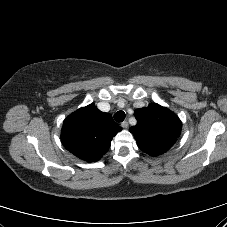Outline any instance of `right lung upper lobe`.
I'll list each match as a JSON object with an SVG mask.
<instances>
[{
  "mask_svg": "<svg viewBox=\"0 0 227 227\" xmlns=\"http://www.w3.org/2000/svg\"><path fill=\"white\" fill-rule=\"evenodd\" d=\"M121 131L111 114L101 112L95 104L82 107L63 122L61 142L73 155L95 162L107 152L113 137Z\"/></svg>",
  "mask_w": 227,
  "mask_h": 227,
  "instance_id": "1",
  "label": "right lung upper lobe"
}]
</instances>
